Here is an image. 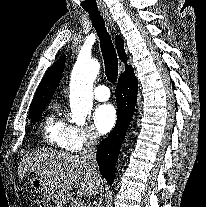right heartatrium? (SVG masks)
<instances>
[{"label":"right heart atrium","instance_id":"1","mask_svg":"<svg viewBox=\"0 0 206 207\" xmlns=\"http://www.w3.org/2000/svg\"><path fill=\"white\" fill-rule=\"evenodd\" d=\"M99 136L91 126L67 124L66 146L71 151H81L96 146Z\"/></svg>","mask_w":206,"mask_h":207}]
</instances>
